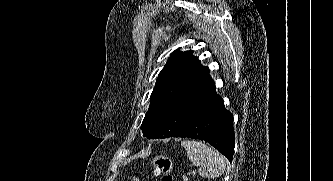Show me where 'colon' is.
<instances>
[{"instance_id":"colon-1","label":"colon","mask_w":333,"mask_h":181,"mask_svg":"<svg viewBox=\"0 0 333 181\" xmlns=\"http://www.w3.org/2000/svg\"><path fill=\"white\" fill-rule=\"evenodd\" d=\"M149 165L161 176V181H174L173 160L169 156H154L149 161Z\"/></svg>"}]
</instances>
